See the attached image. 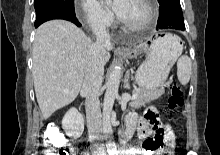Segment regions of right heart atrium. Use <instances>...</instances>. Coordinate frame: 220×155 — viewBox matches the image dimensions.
I'll return each mask as SVG.
<instances>
[{
  "label": "right heart atrium",
  "mask_w": 220,
  "mask_h": 155,
  "mask_svg": "<svg viewBox=\"0 0 220 155\" xmlns=\"http://www.w3.org/2000/svg\"><path fill=\"white\" fill-rule=\"evenodd\" d=\"M77 16L87 28L93 31H106L114 24L112 14L97 0H80Z\"/></svg>",
  "instance_id": "obj_1"
}]
</instances>
